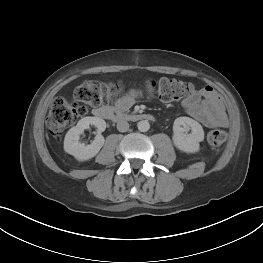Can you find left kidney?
Returning <instances> with one entry per match:
<instances>
[{"label": "left kidney", "instance_id": "obj_1", "mask_svg": "<svg viewBox=\"0 0 263 263\" xmlns=\"http://www.w3.org/2000/svg\"><path fill=\"white\" fill-rule=\"evenodd\" d=\"M191 133L188 134V131ZM204 139V131L200 123L189 117H179L173 124V142L183 152L195 153L199 150V142Z\"/></svg>", "mask_w": 263, "mask_h": 263}]
</instances>
